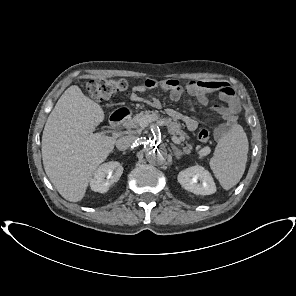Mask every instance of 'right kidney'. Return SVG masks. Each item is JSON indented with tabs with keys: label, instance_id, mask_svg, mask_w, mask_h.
<instances>
[{
	"label": "right kidney",
	"instance_id": "right-kidney-1",
	"mask_svg": "<svg viewBox=\"0 0 296 296\" xmlns=\"http://www.w3.org/2000/svg\"><path fill=\"white\" fill-rule=\"evenodd\" d=\"M123 173L119 162L110 161L99 166L90 180L91 190L106 193L110 186L117 182Z\"/></svg>",
	"mask_w": 296,
	"mask_h": 296
}]
</instances>
